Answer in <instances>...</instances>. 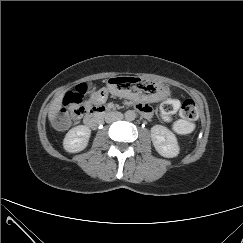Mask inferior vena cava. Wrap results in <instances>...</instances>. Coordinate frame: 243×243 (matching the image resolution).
<instances>
[{"label": "inferior vena cava", "mask_w": 243, "mask_h": 243, "mask_svg": "<svg viewBox=\"0 0 243 243\" xmlns=\"http://www.w3.org/2000/svg\"><path fill=\"white\" fill-rule=\"evenodd\" d=\"M123 118V114L121 112H109L105 116V121L107 123H112L114 121L121 120Z\"/></svg>", "instance_id": "1"}]
</instances>
